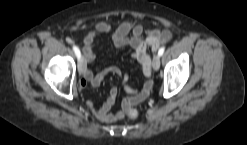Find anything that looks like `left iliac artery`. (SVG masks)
Masks as SVG:
<instances>
[{
    "instance_id": "obj_1",
    "label": "left iliac artery",
    "mask_w": 247,
    "mask_h": 145,
    "mask_svg": "<svg viewBox=\"0 0 247 145\" xmlns=\"http://www.w3.org/2000/svg\"><path fill=\"white\" fill-rule=\"evenodd\" d=\"M164 51H165V47H161V48L159 49V51H158V55H159V56H162L163 53H164Z\"/></svg>"
}]
</instances>
